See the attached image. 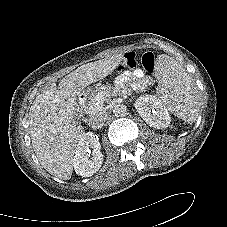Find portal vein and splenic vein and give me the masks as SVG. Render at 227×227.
I'll return each instance as SVG.
<instances>
[{"instance_id": "obj_1", "label": "portal vein and splenic vein", "mask_w": 227, "mask_h": 227, "mask_svg": "<svg viewBox=\"0 0 227 227\" xmlns=\"http://www.w3.org/2000/svg\"><path fill=\"white\" fill-rule=\"evenodd\" d=\"M104 98H105V93L97 96L96 99H95L94 106L96 108H98L100 106V104H102L104 102Z\"/></svg>"}]
</instances>
